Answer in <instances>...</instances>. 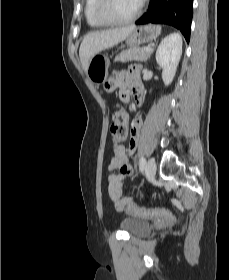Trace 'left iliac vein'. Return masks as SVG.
Wrapping results in <instances>:
<instances>
[{
    "label": "left iliac vein",
    "instance_id": "4c4485c4",
    "mask_svg": "<svg viewBox=\"0 0 229 280\" xmlns=\"http://www.w3.org/2000/svg\"><path fill=\"white\" fill-rule=\"evenodd\" d=\"M156 162L154 158H150L147 163V174L149 177H153L156 173Z\"/></svg>",
    "mask_w": 229,
    "mask_h": 280
}]
</instances>
